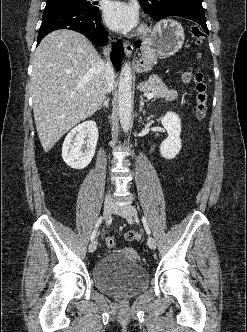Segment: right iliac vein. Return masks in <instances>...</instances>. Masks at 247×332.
Masks as SVG:
<instances>
[{"label": "right iliac vein", "mask_w": 247, "mask_h": 332, "mask_svg": "<svg viewBox=\"0 0 247 332\" xmlns=\"http://www.w3.org/2000/svg\"><path fill=\"white\" fill-rule=\"evenodd\" d=\"M114 211V205L111 201H105L103 208V215L105 219H108ZM97 248V240H93L89 245V251L94 252Z\"/></svg>", "instance_id": "right-iliac-vein-1"}]
</instances>
